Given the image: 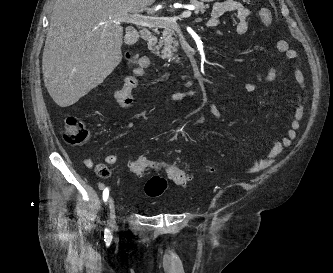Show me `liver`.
Instances as JSON below:
<instances>
[{
  "mask_svg": "<svg viewBox=\"0 0 333 273\" xmlns=\"http://www.w3.org/2000/svg\"><path fill=\"white\" fill-rule=\"evenodd\" d=\"M156 0H56L45 41L44 84L60 107L75 104L100 85L122 60L127 14L147 10Z\"/></svg>",
  "mask_w": 333,
  "mask_h": 273,
  "instance_id": "obj_1",
  "label": "liver"
}]
</instances>
